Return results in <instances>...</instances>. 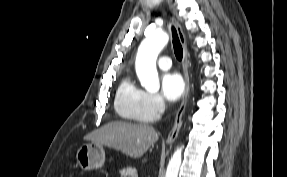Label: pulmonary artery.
Returning <instances> with one entry per match:
<instances>
[{
	"mask_svg": "<svg viewBox=\"0 0 287 177\" xmlns=\"http://www.w3.org/2000/svg\"><path fill=\"white\" fill-rule=\"evenodd\" d=\"M157 63L161 69H169L171 67V59L169 56L166 55L159 57Z\"/></svg>",
	"mask_w": 287,
	"mask_h": 177,
	"instance_id": "obj_1",
	"label": "pulmonary artery"
}]
</instances>
